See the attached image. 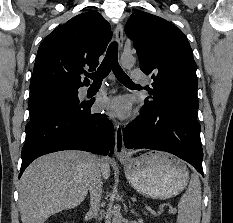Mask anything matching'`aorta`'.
I'll return each mask as SVG.
<instances>
[{
  "label": "aorta",
  "instance_id": "obj_1",
  "mask_svg": "<svg viewBox=\"0 0 233 223\" xmlns=\"http://www.w3.org/2000/svg\"><path fill=\"white\" fill-rule=\"evenodd\" d=\"M135 64V60L133 58V56H121V66L122 68H127V70H129V68H133Z\"/></svg>",
  "mask_w": 233,
  "mask_h": 223
}]
</instances>
